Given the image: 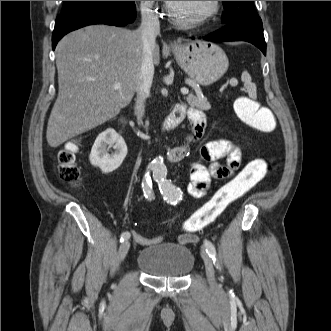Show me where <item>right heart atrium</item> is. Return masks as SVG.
I'll list each match as a JSON object with an SVG mask.
<instances>
[{
    "mask_svg": "<svg viewBox=\"0 0 331 331\" xmlns=\"http://www.w3.org/2000/svg\"><path fill=\"white\" fill-rule=\"evenodd\" d=\"M156 1H139V7L143 16H157L158 10L155 9Z\"/></svg>",
    "mask_w": 331,
    "mask_h": 331,
    "instance_id": "1",
    "label": "right heart atrium"
}]
</instances>
